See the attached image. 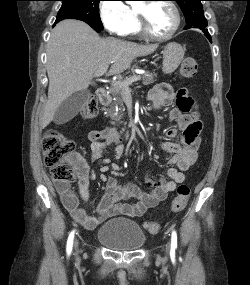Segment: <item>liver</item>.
<instances>
[{
  "label": "liver",
  "instance_id": "6515ba94",
  "mask_svg": "<svg viewBox=\"0 0 250 285\" xmlns=\"http://www.w3.org/2000/svg\"><path fill=\"white\" fill-rule=\"evenodd\" d=\"M157 45H139L113 37L100 38L86 23L66 19L51 32L47 45L48 100L41 118L45 128L59 106L73 93L86 90L95 73L112 63L108 75L128 69L135 57L146 56Z\"/></svg>",
  "mask_w": 250,
  "mask_h": 285
}]
</instances>
